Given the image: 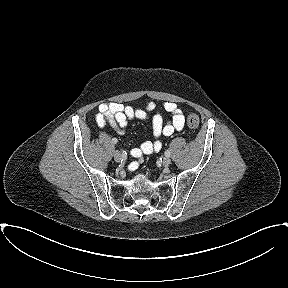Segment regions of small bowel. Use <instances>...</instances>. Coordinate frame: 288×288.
I'll return each mask as SVG.
<instances>
[{"instance_id":"c3829d8e","label":"small bowel","mask_w":288,"mask_h":288,"mask_svg":"<svg viewBox=\"0 0 288 288\" xmlns=\"http://www.w3.org/2000/svg\"><path fill=\"white\" fill-rule=\"evenodd\" d=\"M163 109L171 114V120L164 122L153 101H148L143 108H134L129 105L111 102L103 103L98 108L95 116L96 124L99 127L105 125L121 132L128 121L133 118L146 119L150 113L155 112L152 117L153 140L143 142L139 147L131 150V155L137 159L144 155L156 153L162 148V136H170L175 131H180L185 125L183 111L174 102L166 101L162 105Z\"/></svg>"}]
</instances>
